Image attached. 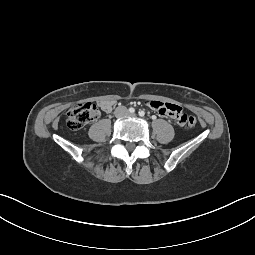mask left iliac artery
Wrapping results in <instances>:
<instances>
[{
    "label": "left iliac artery",
    "mask_w": 255,
    "mask_h": 255,
    "mask_svg": "<svg viewBox=\"0 0 255 255\" xmlns=\"http://www.w3.org/2000/svg\"><path fill=\"white\" fill-rule=\"evenodd\" d=\"M145 115V112L143 110L139 111V116L143 117Z\"/></svg>",
    "instance_id": "left-iliac-artery-1"
}]
</instances>
